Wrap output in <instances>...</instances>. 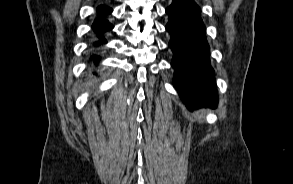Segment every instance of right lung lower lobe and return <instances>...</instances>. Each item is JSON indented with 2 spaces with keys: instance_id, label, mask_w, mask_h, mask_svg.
I'll use <instances>...</instances> for the list:
<instances>
[{
  "instance_id": "98d812e1",
  "label": "right lung lower lobe",
  "mask_w": 293,
  "mask_h": 184,
  "mask_svg": "<svg viewBox=\"0 0 293 184\" xmlns=\"http://www.w3.org/2000/svg\"><path fill=\"white\" fill-rule=\"evenodd\" d=\"M112 11V8L106 7L104 5L97 7V18L92 24L93 31L99 37V41L96 42V45L99 43H106V40L102 37V34L111 30L113 25L108 22L105 16L110 14Z\"/></svg>"
}]
</instances>
